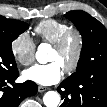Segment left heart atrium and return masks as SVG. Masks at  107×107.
Wrapping results in <instances>:
<instances>
[{
    "label": "left heart atrium",
    "mask_w": 107,
    "mask_h": 107,
    "mask_svg": "<svg viewBox=\"0 0 107 107\" xmlns=\"http://www.w3.org/2000/svg\"><path fill=\"white\" fill-rule=\"evenodd\" d=\"M62 75V66L57 61H51L47 64H36L23 73L26 80L45 86L57 83Z\"/></svg>",
    "instance_id": "39dd6f15"
}]
</instances>
